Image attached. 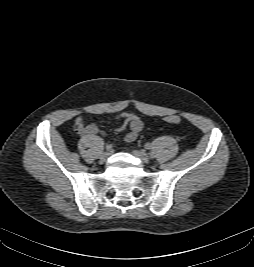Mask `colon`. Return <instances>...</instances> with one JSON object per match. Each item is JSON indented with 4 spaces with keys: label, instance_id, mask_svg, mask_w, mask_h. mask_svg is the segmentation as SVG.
<instances>
[{
    "label": "colon",
    "instance_id": "1",
    "mask_svg": "<svg viewBox=\"0 0 254 267\" xmlns=\"http://www.w3.org/2000/svg\"><path fill=\"white\" fill-rule=\"evenodd\" d=\"M179 120H180V118L177 115H174V114L168 115V116L165 117V121L167 123H178Z\"/></svg>",
    "mask_w": 254,
    "mask_h": 267
}]
</instances>
